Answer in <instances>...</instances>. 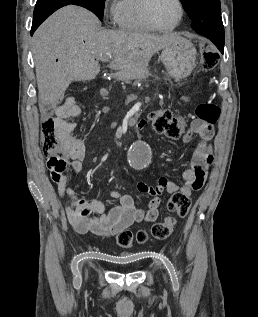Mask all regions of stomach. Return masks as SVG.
I'll use <instances>...</instances> for the list:
<instances>
[{"label":"stomach","mask_w":258,"mask_h":317,"mask_svg":"<svg viewBox=\"0 0 258 317\" xmlns=\"http://www.w3.org/2000/svg\"><path fill=\"white\" fill-rule=\"evenodd\" d=\"M196 56L197 50L193 42H190L187 38H182L176 44L164 46L160 58L170 76L185 78L196 66Z\"/></svg>","instance_id":"0dacf381"}]
</instances>
